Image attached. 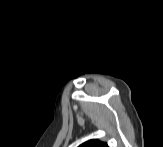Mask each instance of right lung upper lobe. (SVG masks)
Listing matches in <instances>:
<instances>
[{
  "label": "right lung upper lobe",
  "mask_w": 163,
  "mask_h": 147,
  "mask_svg": "<svg viewBox=\"0 0 163 147\" xmlns=\"http://www.w3.org/2000/svg\"><path fill=\"white\" fill-rule=\"evenodd\" d=\"M80 147H108V145L99 140H89L83 143Z\"/></svg>",
  "instance_id": "obj_1"
}]
</instances>
